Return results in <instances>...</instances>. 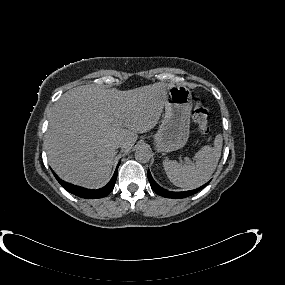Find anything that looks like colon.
I'll return each mask as SVG.
<instances>
[{
	"label": "colon",
	"mask_w": 285,
	"mask_h": 285,
	"mask_svg": "<svg viewBox=\"0 0 285 285\" xmlns=\"http://www.w3.org/2000/svg\"><path fill=\"white\" fill-rule=\"evenodd\" d=\"M192 118L198 126V130L206 134L208 132V109L203 101L199 98L194 99V105L192 110Z\"/></svg>",
	"instance_id": "1"
}]
</instances>
